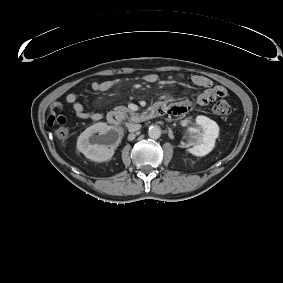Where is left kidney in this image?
I'll return each instance as SVG.
<instances>
[{
	"instance_id": "5707ae66",
	"label": "left kidney",
	"mask_w": 283,
	"mask_h": 283,
	"mask_svg": "<svg viewBox=\"0 0 283 283\" xmlns=\"http://www.w3.org/2000/svg\"><path fill=\"white\" fill-rule=\"evenodd\" d=\"M196 124L202 131L190 130V140L187 151L195 156H205L215 147V141L219 136L218 124L210 118L199 115Z\"/></svg>"
}]
</instances>
